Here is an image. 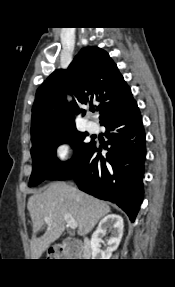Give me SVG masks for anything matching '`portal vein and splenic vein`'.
I'll return each instance as SVG.
<instances>
[{
    "label": "portal vein and splenic vein",
    "instance_id": "18ae733b",
    "mask_svg": "<svg viewBox=\"0 0 175 287\" xmlns=\"http://www.w3.org/2000/svg\"><path fill=\"white\" fill-rule=\"evenodd\" d=\"M64 219L67 222V225L71 228V229H75L77 228V222L68 214L64 215ZM45 222L49 223L50 222V218L46 217L45 218Z\"/></svg>",
    "mask_w": 175,
    "mask_h": 287
}]
</instances>
